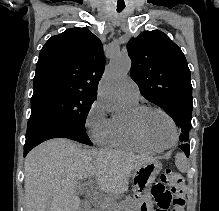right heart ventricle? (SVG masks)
Here are the masks:
<instances>
[{"instance_id":"1","label":"right heart ventricle","mask_w":219,"mask_h":211,"mask_svg":"<svg viewBox=\"0 0 219 211\" xmlns=\"http://www.w3.org/2000/svg\"><path fill=\"white\" fill-rule=\"evenodd\" d=\"M125 103V102H124ZM128 108V114L123 117L112 118L113 129L110 139V143L114 147L122 148L129 151L142 152V153H154L156 150L142 143L134 134L130 123L129 114L136 109L139 104L137 103H125Z\"/></svg>"}]
</instances>
